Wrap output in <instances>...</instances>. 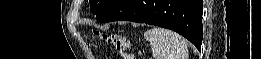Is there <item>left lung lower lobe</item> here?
Here are the masks:
<instances>
[{"instance_id":"left-lung-lower-lobe-1","label":"left lung lower lobe","mask_w":261,"mask_h":59,"mask_svg":"<svg viewBox=\"0 0 261 59\" xmlns=\"http://www.w3.org/2000/svg\"><path fill=\"white\" fill-rule=\"evenodd\" d=\"M202 0H120L100 22L133 21L172 29L201 48Z\"/></svg>"}]
</instances>
